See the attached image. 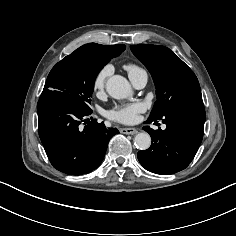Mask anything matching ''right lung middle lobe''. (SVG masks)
<instances>
[{"mask_svg": "<svg viewBox=\"0 0 236 236\" xmlns=\"http://www.w3.org/2000/svg\"><path fill=\"white\" fill-rule=\"evenodd\" d=\"M113 57L108 53L75 50L52 68L43 92H63L83 109H90L96 76Z\"/></svg>", "mask_w": 236, "mask_h": 236, "instance_id": "right-lung-middle-lobe-1", "label": "right lung middle lobe"}]
</instances>
